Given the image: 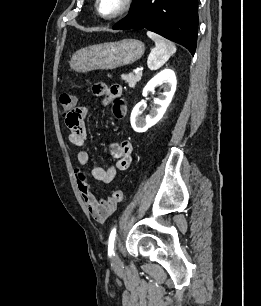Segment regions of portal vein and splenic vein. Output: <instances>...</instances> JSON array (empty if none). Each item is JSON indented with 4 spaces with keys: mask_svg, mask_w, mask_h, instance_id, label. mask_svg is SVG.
I'll return each instance as SVG.
<instances>
[{
    "mask_svg": "<svg viewBox=\"0 0 261 306\" xmlns=\"http://www.w3.org/2000/svg\"><path fill=\"white\" fill-rule=\"evenodd\" d=\"M141 70L139 68L135 69L134 72L135 73H139Z\"/></svg>",
    "mask_w": 261,
    "mask_h": 306,
    "instance_id": "18ae733b",
    "label": "portal vein and splenic vein"
}]
</instances>
